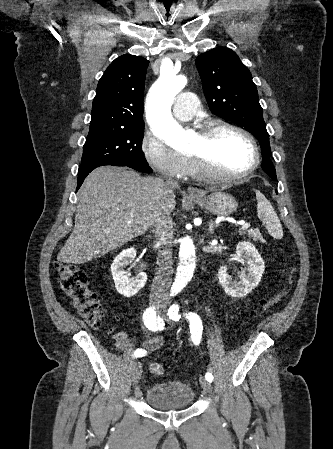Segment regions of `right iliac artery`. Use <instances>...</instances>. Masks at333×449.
I'll return each mask as SVG.
<instances>
[{
    "instance_id": "obj_1",
    "label": "right iliac artery",
    "mask_w": 333,
    "mask_h": 449,
    "mask_svg": "<svg viewBox=\"0 0 333 449\" xmlns=\"http://www.w3.org/2000/svg\"><path fill=\"white\" fill-rule=\"evenodd\" d=\"M144 324L151 331L162 330L164 322L160 316L157 317L155 307H149L146 309L143 315ZM146 355V351L143 349H137L134 352V357H142Z\"/></svg>"
}]
</instances>
